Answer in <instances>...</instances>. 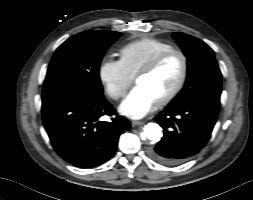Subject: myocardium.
<instances>
[{
    "label": "myocardium",
    "mask_w": 253,
    "mask_h": 200,
    "mask_svg": "<svg viewBox=\"0 0 253 200\" xmlns=\"http://www.w3.org/2000/svg\"><path fill=\"white\" fill-rule=\"evenodd\" d=\"M172 56H178L181 59L182 62V71L179 77L178 82L173 87V89L166 94L164 97L159 99L157 101L158 105H165L171 102L183 89L188 73H189V63L187 56L179 50L173 49L170 51H166L157 57H155L153 60H151L147 65H145L143 68H141L135 75V80H137L141 76L150 75L153 72H155L167 59H169Z\"/></svg>",
    "instance_id": "1"
}]
</instances>
